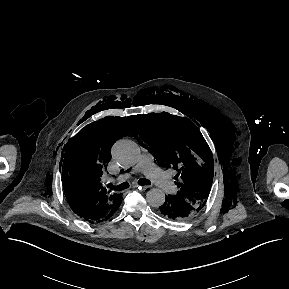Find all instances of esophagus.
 Masks as SVG:
<instances>
[{
    "label": "esophagus",
    "instance_id": "obj_1",
    "mask_svg": "<svg viewBox=\"0 0 289 289\" xmlns=\"http://www.w3.org/2000/svg\"><path fill=\"white\" fill-rule=\"evenodd\" d=\"M132 188H138V189H140L142 191H146L147 189L150 188V186H139V185L135 184V185L132 186Z\"/></svg>",
    "mask_w": 289,
    "mask_h": 289
}]
</instances>
